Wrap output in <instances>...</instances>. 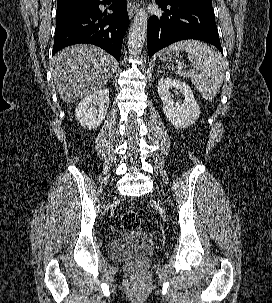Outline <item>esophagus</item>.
Here are the masks:
<instances>
[{
  "mask_svg": "<svg viewBox=\"0 0 272 303\" xmlns=\"http://www.w3.org/2000/svg\"><path fill=\"white\" fill-rule=\"evenodd\" d=\"M136 12H137V7H136L135 3L130 1L128 3V15H129V17L132 18L135 15Z\"/></svg>",
  "mask_w": 272,
  "mask_h": 303,
  "instance_id": "1",
  "label": "esophagus"
}]
</instances>
